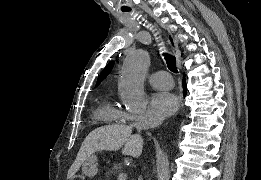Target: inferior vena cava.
<instances>
[{"mask_svg": "<svg viewBox=\"0 0 261 180\" xmlns=\"http://www.w3.org/2000/svg\"><path fill=\"white\" fill-rule=\"evenodd\" d=\"M137 128H142L141 124H137Z\"/></svg>", "mask_w": 261, "mask_h": 180, "instance_id": "obj_1", "label": "inferior vena cava"}]
</instances>
